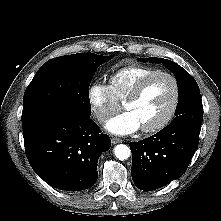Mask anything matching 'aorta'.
<instances>
[{
    "mask_svg": "<svg viewBox=\"0 0 221 221\" xmlns=\"http://www.w3.org/2000/svg\"><path fill=\"white\" fill-rule=\"evenodd\" d=\"M114 154H115L116 158L123 161V160H126L130 157L131 150L127 145L119 144V145L115 146Z\"/></svg>",
    "mask_w": 221,
    "mask_h": 221,
    "instance_id": "obj_1",
    "label": "aorta"
}]
</instances>
